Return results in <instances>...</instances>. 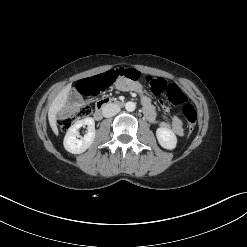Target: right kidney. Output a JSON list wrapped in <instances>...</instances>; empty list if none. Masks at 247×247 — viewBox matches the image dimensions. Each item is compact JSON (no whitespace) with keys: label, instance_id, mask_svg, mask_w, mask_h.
Segmentation results:
<instances>
[{"label":"right kidney","instance_id":"right-kidney-1","mask_svg":"<svg viewBox=\"0 0 247 247\" xmlns=\"http://www.w3.org/2000/svg\"><path fill=\"white\" fill-rule=\"evenodd\" d=\"M82 126H87L88 132L81 139H78V129ZM95 134V121L93 118L88 117L79 120L68 129L63 141L64 148L72 154H81L91 146L95 139Z\"/></svg>","mask_w":247,"mask_h":247}]
</instances>
